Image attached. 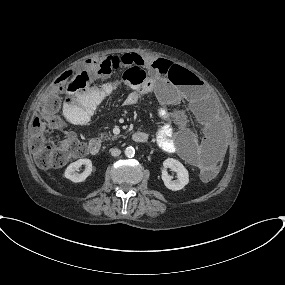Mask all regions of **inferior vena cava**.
<instances>
[{
    "mask_svg": "<svg viewBox=\"0 0 285 285\" xmlns=\"http://www.w3.org/2000/svg\"><path fill=\"white\" fill-rule=\"evenodd\" d=\"M110 152H111V155L114 156V157H117V156H119L121 154V150L118 149V148H112L110 150Z\"/></svg>",
    "mask_w": 285,
    "mask_h": 285,
    "instance_id": "602c4592",
    "label": "inferior vena cava"
}]
</instances>
